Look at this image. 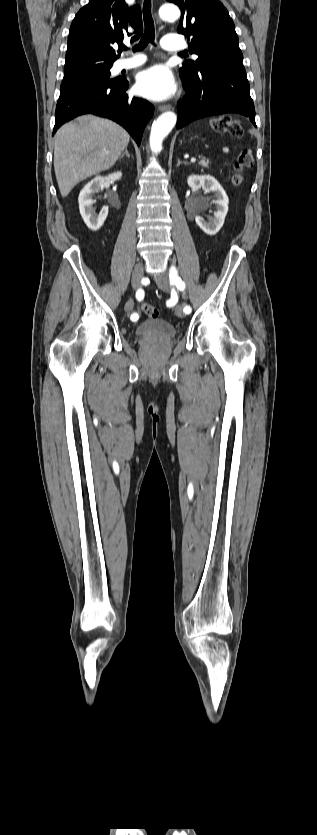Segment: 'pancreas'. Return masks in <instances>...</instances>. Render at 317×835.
<instances>
[{"instance_id":"cf45deb5","label":"pancreas","mask_w":317,"mask_h":835,"mask_svg":"<svg viewBox=\"0 0 317 835\" xmlns=\"http://www.w3.org/2000/svg\"><path fill=\"white\" fill-rule=\"evenodd\" d=\"M199 165H201L202 167H205V168H209V161L206 160V159H202V160L199 161Z\"/></svg>"}]
</instances>
